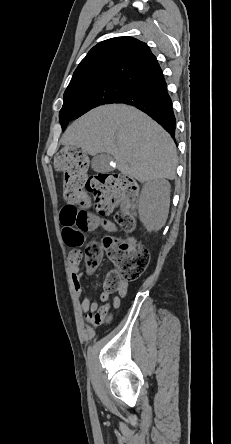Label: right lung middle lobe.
<instances>
[{
    "instance_id": "1",
    "label": "right lung middle lobe",
    "mask_w": 231,
    "mask_h": 444,
    "mask_svg": "<svg viewBox=\"0 0 231 444\" xmlns=\"http://www.w3.org/2000/svg\"><path fill=\"white\" fill-rule=\"evenodd\" d=\"M132 87L121 83H105L87 88L66 90L64 103L59 114L62 130L69 121L77 119L87 111L108 103H114Z\"/></svg>"
}]
</instances>
